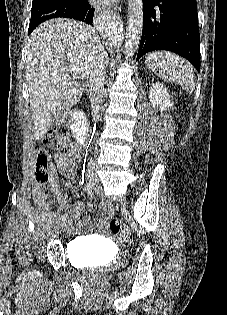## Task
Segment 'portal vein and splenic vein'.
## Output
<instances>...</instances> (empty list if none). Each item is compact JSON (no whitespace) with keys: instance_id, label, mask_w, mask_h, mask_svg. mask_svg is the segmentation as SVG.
<instances>
[{"instance_id":"portal-vein-and-splenic-vein-1","label":"portal vein and splenic vein","mask_w":227,"mask_h":315,"mask_svg":"<svg viewBox=\"0 0 227 315\" xmlns=\"http://www.w3.org/2000/svg\"><path fill=\"white\" fill-rule=\"evenodd\" d=\"M70 71L74 72V73H80V74H82L83 77H86V74L84 73V69L83 68L72 67Z\"/></svg>"}]
</instances>
